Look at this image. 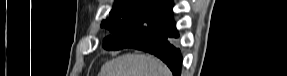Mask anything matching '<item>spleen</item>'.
I'll return each instance as SVG.
<instances>
[{"label":"spleen","mask_w":287,"mask_h":76,"mask_svg":"<svg viewBox=\"0 0 287 76\" xmlns=\"http://www.w3.org/2000/svg\"><path fill=\"white\" fill-rule=\"evenodd\" d=\"M102 76H171L168 67L159 59L144 54L128 53L107 62Z\"/></svg>","instance_id":"obj_1"}]
</instances>
